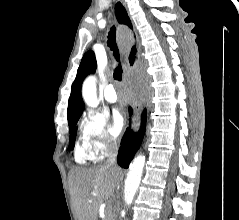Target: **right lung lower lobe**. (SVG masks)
I'll return each instance as SVG.
<instances>
[{
	"mask_svg": "<svg viewBox=\"0 0 239 220\" xmlns=\"http://www.w3.org/2000/svg\"><path fill=\"white\" fill-rule=\"evenodd\" d=\"M129 112L131 115L132 112L131 108L129 109ZM145 124H146V110H144L142 113L140 130L137 133H133L131 131V127L129 126V128H127L122 138L121 147L119 149L117 159V162L121 167L128 168L136 151L140 147L144 135Z\"/></svg>",
	"mask_w": 239,
	"mask_h": 220,
	"instance_id": "98d812e1",
	"label": "right lung lower lobe"
}]
</instances>
